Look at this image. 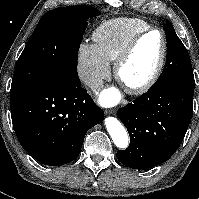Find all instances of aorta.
I'll list each match as a JSON object with an SVG mask.
<instances>
[{
	"label": "aorta",
	"mask_w": 199,
	"mask_h": 199,
	"mask_svg": "<svg viewBox=\"0 0 199 199\" xmlns=\"http://www.w3.org/2000/svg\"><path fill=\"white\" fill-rule=\"evenodd\" d=\"M105 125L114 144L120 149H126L129 145V137L124 126L114 117L105 119Z\"/></svg>",
	"instance_id": "1"
}]
</instances>
